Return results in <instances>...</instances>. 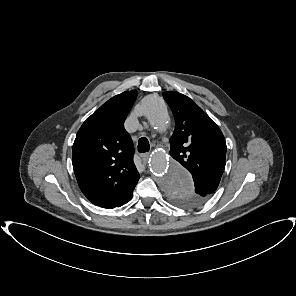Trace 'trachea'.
<instances>
[{"label":"trachea","instance_id":"3493384b","mask_svg":"<svg viewBox=\"0 0 296 296\" xmlns=\"http://www.w3.org/2000/svg\"><path fill=\"white\" fill-rule=\"evenodd\" d=\"M150 149V144L147 138L142 137L138 141V151L140 153L148 152Z\"/></svg>","mask_w":296,"mask_h":296}]
</instances>
